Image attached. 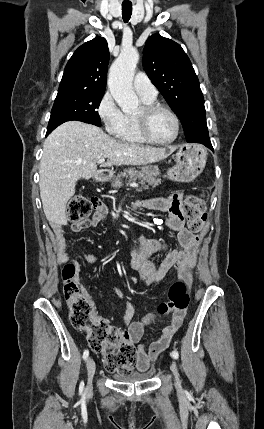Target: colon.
<instances>
[{"label":"colon","instance_id":"obj_1","mask_svg":"<svg viewBox=\"0 0 264 429\" xmlns=\"http://www.w3.org/2000/svg\"><path fill=\"white\" fill-rule=\"evenodd\" d=\"M97 200L85 196H74L68 204L67 216L71 221H80L90 215L93 209L100 210ZM187 218L188 228L198 233L205 221V205L200 195L188 196L181 206ZM76 267L66 263L62 268L63 293L69 308L72 325L87 333L88 344L95 352L104 353L105 368L112 372L130 373L136 360L134 342L127 332H120L105 320L99 318L90 296L82 291L75 279ZM189 304V292L183 281H176L169 290L167 302L159 304L157 310L161 315L170 311L184 313Z\"/></svg>","mask_w":264,"mask_h":429}]
</instances>
